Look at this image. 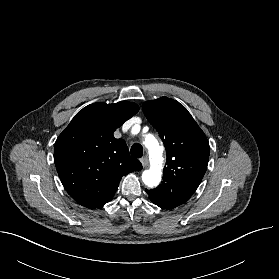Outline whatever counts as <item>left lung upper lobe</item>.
Returning <instances> with one entry per match:
<instances>
[{"label":"left lung upper lobe","instance_id":"obj_1","mask_svg":"<svg viewBox=\"0 0 279 279\" xmlns=\"http://www.w3.org/2000/svg\"><path fill=\"white\" fill-rule=\"evenodd\" d=\"M143 111L167 151L163 181L147 193L149 197L182 204L193 195L205 174L209 142L186 108L173 99L146 101Z\"/></svg>","mask_w":279,"mask_h":279}]
</instances>
